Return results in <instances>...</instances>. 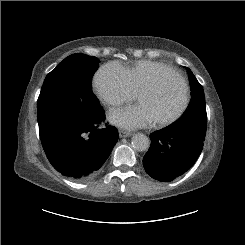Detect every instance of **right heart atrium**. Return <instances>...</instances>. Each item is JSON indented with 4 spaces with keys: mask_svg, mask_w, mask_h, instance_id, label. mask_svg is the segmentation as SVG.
<instances>
[{
    "mask_svg": "<svg viewBox=\"0 0 245 245\" xmlns=\"http://www.w3.org/2000/svg\"><path fill=\"white\" fill-rule=\"evenodd\" d=\"M98 98L108 107H118L135 98L136 92L127 70L118 63L101 66L92 80Z\"/></svg>",
    "mask_w": 245,
    "mask_h": 245,
    "instance_id": "d8ad5b80",
    "label": "right heart atrium"
}]
</instances>
